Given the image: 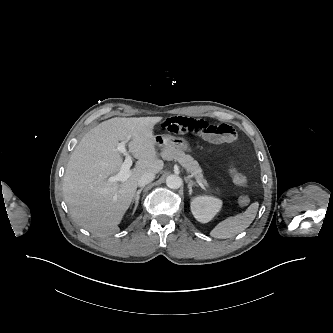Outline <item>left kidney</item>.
I'll return each instance as SVG.
<instances>
[{
	"label": "left kidney",
	"instance_id": "obj_1",
	"mask_svg": "<svg viewBox=\"0 0 333 333\" xmlns=\"http://www.w3.org/2000/svg\"><path fill=\"white\" fill-rule=\"evenodd\" d=\"M222 201L212 196H198L191 201L193 216L201 223H208L221 210Z\"/></svg>",
	"mask_w": 333,
	"mask_h": 333
}]
</instances>
